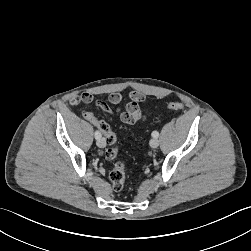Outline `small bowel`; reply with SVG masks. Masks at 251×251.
Instances as JSON below:
<instances>
[{
    "instance_id": "small-bowel-1",
    "label": "small bowel",
    "mask_w": 251,
    "mask_h": 251,
    "mask_svg": "<svg viewBox=\"0 0 251 251\" xmlns=\"http://www.w3.org/2000/svg\"><path fill=\"white\" fill-rule=\"evenodd\" d=\"M128 103L123 109L113 110L110 105H118L122 101V95L119 92H113L109 95L108 101L97 100L95 105L110 115H117L119 119L127 125H136L142 123L146 119V112L141 108L145 103V96L139 91H131L128 94ZM93 96L90 93H82L71 100L73 105L79 103H90Z\"/></svg>"
}]
</instances>
